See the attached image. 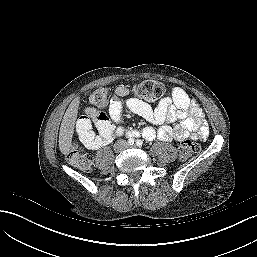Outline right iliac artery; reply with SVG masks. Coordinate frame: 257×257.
Returning <instances> with one entry per match:
<instances>
[{
    "instance_id": "obj_1",
    "label": "right iliac artery",
    "mask_w": 257,
    "mask_h": 257,
    "mask_svg": "<svg viewBox=\"0 0 257 257\" xmlns=\"http://www.w3.org/2000/svg\"><path fill=\"white\" fill-rule=\"evenodd\" d=\"M134 139L133 138H130L129 140H128V143H129V145H133L134 144Z\"/></svg>"
}]
</instances>
